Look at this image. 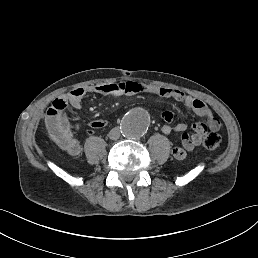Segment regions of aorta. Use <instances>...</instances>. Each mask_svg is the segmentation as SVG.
Here are the masks:
<instances>
[{
	"label": "aorta",
	"mask_w": 258,
	"mask_h": 258,
	"mask_svg": "<svg viewBox=\"0 0 258 258\" xmlns=\"http://www.w3.org/2000/svg\"><path fill=\"white\" fill-rule=\"evenodd\" d=\"M150 125V115L143 108H135L126 113L121 121V132L129 139L140 138Z\"/></svg>",
	"instance_id": "762f6f07"
}]
</instances>
